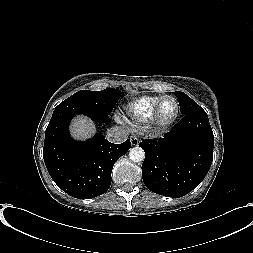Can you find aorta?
<instances>
[{"instance_id":"obj_1","label":"aorta","mask_w":253,"mask_h":253,"mask_svg":"<svg viewBox=\"0 0 253 253\" xmlns=\"http://www.w3.org/2000/svg\"><path fill=\"white\" fill-rule=\"evenodd\" d=\"M129 158L133 162H141L145 159V152L139 146L133 147L129 151Z\"/></svg>"}]
</instances>
